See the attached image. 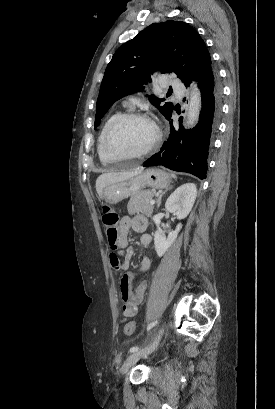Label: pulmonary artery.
I'll return each instance as SVG.
<instances>
[{
	"label": "pulmonary artery",
	"mask_w": 275,
	"mask_h": 409,
	"mask_svg": "<svg viewBox=\"0 0 275 409\" xmlns=\"http://www.w3.org/2000/svg\"><path fill=\"white\" fill-rule=\"evenodd\" d=\"M177 75L175 73L170 74L165 79L164 85L166 87L177 88L179 86V81L176 79Z\"/></svg>",
	"instance_id": "1"
}]
</instances>
